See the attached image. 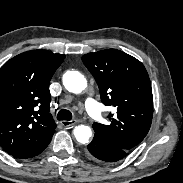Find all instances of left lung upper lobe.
I'll list each match as a JSON object with an SVG mask.
<instances>
[{
    "mask_svg": "<svg viewBox=\"0 0 183 183\" xmlns=\"http://www.w3.org/2000/svg\"><path fill=\"white\" fill-rule=\"evenodd\" d=\"M82 61L95 78L101 101L115 107L109 125L94 123L95 133L127 151L147 135L153 116L148 73L136 58L117 49L88 53Z\"/></svg>",
    "mask_w": 183,
    "mask_h": 183,
    "instance_id": "1",
    "label": "left lung upper lobe"
}]
</instances>
